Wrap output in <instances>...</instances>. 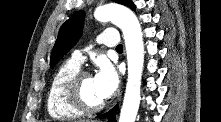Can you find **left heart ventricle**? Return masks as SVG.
Returning a JSON list of instances; mask_svg holds the SVG:
<instances>
[{
	"instance_id": "b2bd125f",
	"label": "left heart ventricle",
	"mask_w": 221,
	"mask_h": 122,
	"mask_svg": "<svg viewBox=\"0 0 221 122\" xmlns=\"http://www.w3.org/2000/svg\"><path fill=\"white\" fill-rule=\"evenodd\" d=\"M81 89L82 95L88 103L92 105H97L104 102V100L100 97L96 90L94 79L92 76L87 77L83 80Z\"/></svg>"
}]
</instances>
